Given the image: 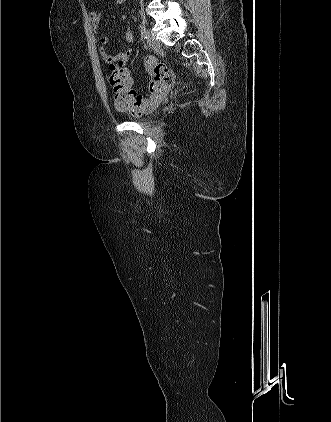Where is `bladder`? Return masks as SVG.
<instances>
[{"mask_svg": "<svg viewBox=\"0 0 331 422\" xmlns=\"http://www.w3.org/2000/svg\"><path fill=\"white\" fill-rule=\"evenodd\" d=\"M154 110L155 109H153V110H151L149 112L143 113L142 115H139V116H132L130 118V120L131 121H134V122H137V123L147 122V121L150 120V116L152 115V113H153Z\"/></svg>", "mask_w": 331, "mask_h": 422, "instance_id": "31cf9c89", "label": "bladder"}]
</instances>
